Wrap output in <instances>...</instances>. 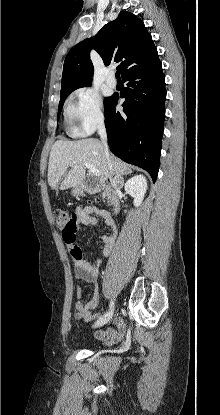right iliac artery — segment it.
Here are the masks:
<instances>
[{
    "mask_svg": "<svg viewBox=\"0 0 220 415\" xmlns=\"http://www.w3.org/2000/svg\"><path fill=\"white\" fill-rule=\"evenodd\" d=\"M114 307V302L111 300L110 305H109V310H112Z\"/></svg>",
    "mask_w": 220,
    "mask_h": 415,
    "instance_id": "obj_1",
    "label": "right iliac artery"
}]
</instances>
